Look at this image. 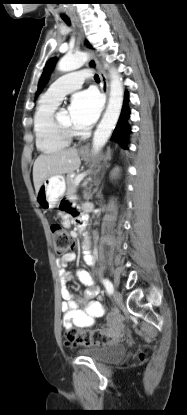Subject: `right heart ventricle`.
Instances as JSON below:
<instances>
[{
  "label": "right heart ventricle",
  "instance_id": "obj_1",
  "mask_svg": "<svg viewBox=\"0 0 187 415\" xmlns=\"http://www.w3.org/2000/svg\"><path fill=\"white\" fill-rule=\"evenodd\" d=\"M58 103V101L50 100L44 95L34 114L36 146L43 153L61 151L70 143V139L61 133L54 121Z\"/></svg>",
  "mask_w": 187,
  "mask_h": 415
}]
</instances>
